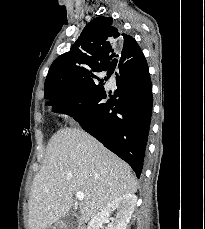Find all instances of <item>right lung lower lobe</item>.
<instances>
[{
  "label": "right lung lower lobe",
  "mask_w": 205,
  "mask_h": 229,
  "mask_svg": "<svg viewBox=\"0 0 205 229\" xmlns=\"http://www.w3.org/2000/svg\"><path fill=\"white\" fill-rule=\"evenodd\" d=\"M117 68L120 71L116 72L114 95L97 86L69 100L60 97L46 105L54 112L72 116L86 132L126 161L139 178L152 113L151 79L144 55L134 68Z\"/></svg>",
  "instance_id": "1"
}]
</instances>
